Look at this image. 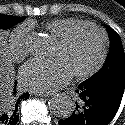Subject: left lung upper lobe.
<instances>
[{"label": "left lung upper lobe", "instance_id": "5c2ea615", "mask_svg": "<svg viewBox=\"0 0 125 125\" xmlns=\"http://www.w3.org/2000/svg\"><path fill=\"white\" fill-rule=\"evenodd\" d=\"M111 49L103 67L83 83L90 86L103 84L112 80L125 79V54L119 35L107 26Z\"/></svg>", "mask_w": 125, "mask_h": 125}]
</instances>
